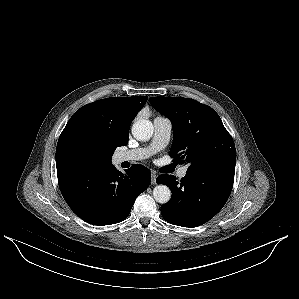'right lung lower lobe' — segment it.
<instances>
[{
	"instance_id": "obj_1",
	"label": "right lung lower lobe",
	"mask_w": 299,
	"mask_h": 299,
	"mask_svg": "<svg viewBox=\"0 0 299 299\" xmlns=\"http://www.w3.org/2000/svg\"><path fill=\"white\" fill-rule=\"evenodd\" d=\"M118 171L112 163L57 164L60 191L69 207L82 220L93 225H111L126 219L135 199L151 181L150 171L133 165Z\"/></svg>"
}]
</instances>
